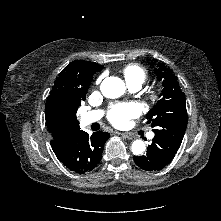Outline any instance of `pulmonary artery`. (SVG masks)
<instances>
[{
	"mask_svg": "<svg viewBox=\"0 0 221 221\" xmlns=\"http://www.w3.org/2000/svg\"><path fill=\"white\" fill-rule=\"evenodd\" d=\"M127 85L131 91H138L141 88L142 83L140 82H127ZM102 116L101 111H90L86 112L82 116V120L85 124H91L98 121ZM154 137L153 132L148 133V138L152 139Z\"/></svg>",
	"mask_w": 221,
	"mask_h": 221,
	"instance_id": "pulmonary-artery-1",
	"label": "pulmonary artery"
}]
</instances>
